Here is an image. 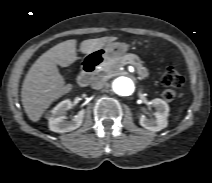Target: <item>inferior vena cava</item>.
Instances as JSON below:
<instances>
[{
  "mask_svg": "<svg viewBox=\"0 0 212 183\" xmlns=\"http://www.w3.org/2000/svg\"><path fill=\"white\" fill-rule=\"evenodd\" d=\"M105 82L102 78H95L92 83L91 87L92 89L98 90L101 89L104 86Z\"/></svg>",
  "mask_w": 212,
  "mask_h": 183,
  "instance_id": "602c4592",
  "label": "inferior vena cava"
}]
</instances>
